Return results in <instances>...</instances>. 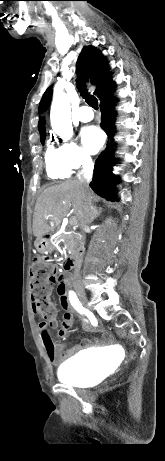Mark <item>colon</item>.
<instances>
[{
	"mask_svg": "<svg viewBox=\"0 0 165 461\" xmlns=\"http://www.w3.org/2000/svg\"><path fill=\"white\" fill-rule=\"evenodd\" d=\"M57 268L47 260L36 259L30 268L31 296L37 310L46 318L54 315V305L50 300L52 285L57 283ZM47 343L52 344L50 336L44 335Z\"/></svg>",
	"mask_w": 165,
	"mask_h": 461,
	"instance_id": "5ec220e1",
	"label": "colon"
}]
</instances>
